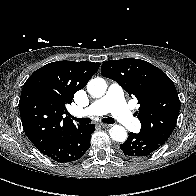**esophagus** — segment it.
Wrapping results in <instances>:
<instances>
[{
	"label": "esophagus",
	"mask_w": 196,
	"mask_h": 196,
	"mask_svg": "<svg viewBox=\"0 0 196 196\" xmlns=\"http://www.w3.org/2000/svg\"><path fill=\"white\" fill-rule=\"evenodd\" d=\"M100 126L103 128H109L111 126V124L101 123Z\"/></svg>",
	"instance_id": "obj_1"
}]
</instances>
